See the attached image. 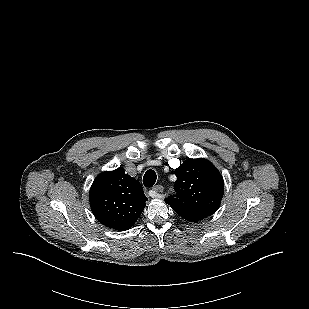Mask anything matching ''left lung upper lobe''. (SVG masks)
Instances as JSON below:
<instances>
[{"instance_id":"obj_1","label":"left lung upper lobe","mask_w":309,"mask_h":309,"mask_svg":"<svg viewBox=\"0 0 309 309\" xmlns=\"http://www.w3.org/2000/svg\"><path fill=\"white\" fill-rule=\"evenodd\" d=\"M176 194L165 202L182 218L198 222L212 215L220 206L224 182L220 172L208 160L189 159L176 170Z\"/></svg>"}]
</instances>
